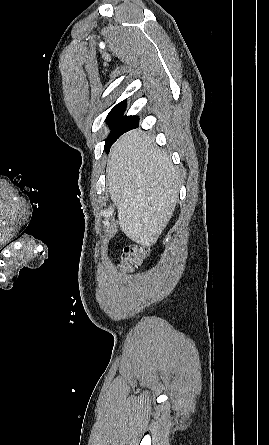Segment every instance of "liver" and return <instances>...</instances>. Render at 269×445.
Listing matches in <instances>:
<instances>
[{"label": "liver", "mask_w": 269, "mask_h": 445, "mask_svg": "<svg viewBox=\"0 0 269 445\" xmlns=\"http://www.w3.org/2000/svg\"><path fill=\"white\" fill-rule=\"evenodd\" d=\"M108 190L121 230L132 241L153 246L170 221L180 175L170 158L139 130L124 134L111 148Z\"/></svg>", "instance_id": "liver-1"}]
</instances>
